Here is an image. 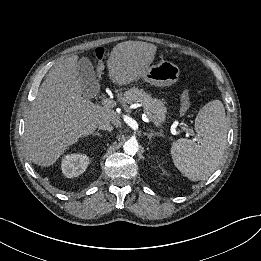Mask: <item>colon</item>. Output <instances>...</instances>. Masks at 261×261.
Returning <instances> with one entry per match:
<instances>
[{"instance_id": "colon-1", "label": "colon", "mask_w": 261, "mask_h": 261, "mask_svg": "<svg viewBox=\"0 0 261 261\" xmlns=\"http://www.w3.org/2000/svg\"><path fill=\"white\" fill-rule=\"evenodd\" d=\"M188 93V92H187ZM180 111L182 112L183 111V109H182V107L180 106Z\"/></svg>"}]
</instances>
